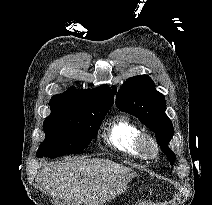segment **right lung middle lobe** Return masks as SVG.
Wrapping results in <instances>:
<instances>
[{
  "instance_id": "right-lung-middle-lobe-1",
  "label": "right lung middle lobe",
  "mask_w": 212,
  "mask_h": 205,
  "mask_svg": "<svg viewBox=\"0 0 212 205\" xmlns=\"http://www.w3.org/2000/svg\"><path fill=\"white\" fill-rule=\"evenodd\" d=\"M111 106L76 108L58 116H48L43 123L45 140L37 157L55 158L80 153L97 135V131Z\"/></svg>"
}]
</instances>
